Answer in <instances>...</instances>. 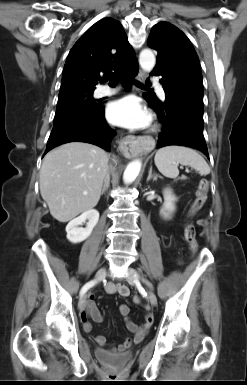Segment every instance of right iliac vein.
Here are the masks:
<instances>
[{"mask_svg":"<svg viewBox=\"0 0 247 385\" xmlns=\"http://www.w3.org/2000/svg\"><path fill=\"white\" fill-rule=\"evenodd\" d=\"M106 275V268H101L97 271L95 275V281L99 282L101 281ZM86 301H87V295H82V297L79 300L78 307L80 310H84L86 307Z\"/></svg>","mask_w":247,"mask_h":385,"instance_id":"right-iliac-vein-1","label":"right iliac vein"}]
</instances>
